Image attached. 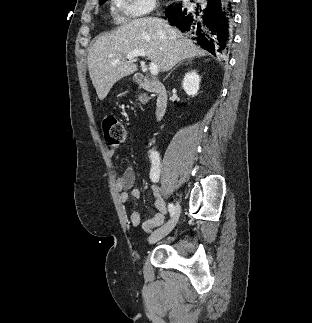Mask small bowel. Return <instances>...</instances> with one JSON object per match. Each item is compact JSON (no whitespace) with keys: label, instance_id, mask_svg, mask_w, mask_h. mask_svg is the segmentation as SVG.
Listing matches in <instances>:
<instances>
[{"label":"small bowel","instance_id":"obj_1","mask_svg":"<svg viewBox=\"0 0 312 323\" xmlns=\"http://www.w3.org/2000/svg\"><path fill=\"white\" fill-rule=\"evenodd\" d=\"M110 155L115 154V149L109 150ZM135 182V172L132 167L127 168L117 179V188L120 191V200L123 204H127L130 198H139L140 190L134 187ZM152 193L154 196V206L157 210L155 216L142 223V229L146 232L152 231L155 227L160 226L163 221L165 214L167 212L166 206L160 198L158 189L152 186ZM129 223L136 227L141 223V215L139 211H133L129 217Z\"/></svg>","mask_w":312,"mask_h":323}]
</instances>
